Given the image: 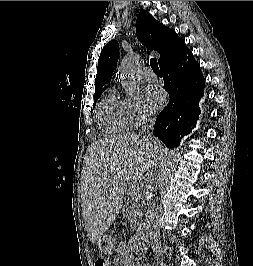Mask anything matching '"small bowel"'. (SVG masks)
<instances>
[{
  "label": "small bowel",
  "mask_w": 253,
  "mask_h": 266,
  "mask_svg": "<svg viewBox=\"0 0 253 266\" xmlns=\"http://www.w3.org/2000/svg\"><path fill=\"white\" fill-rule=\"evenodd\" d=\"M128 263H129L128 265H130V266H137L136 263H134L133 261L128 260ZM143 266H150V265L144 264Z\"/></svg>",
  "instance_id": "obj_1"
}]
</instances>
